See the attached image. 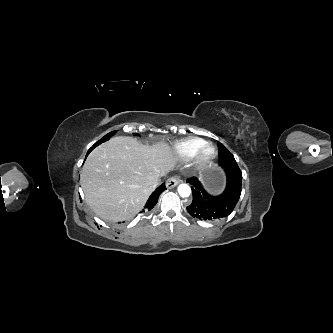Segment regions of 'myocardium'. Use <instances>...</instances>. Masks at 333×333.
<instances>
[{
	"instance_id": "obj_1",
	"label": "myocardium",
	"mask_w": 333,
	"mask_h": 333,
	"mask_svg": "<svg viewBox=\"0 0 333 333\" xmlns=\"http://www.w3.org/2000/svg\"><path fill=\"white\" fill-rule=\"evenodd\" d=\"M211 151V153H209ZM217 158V150L212 144H205L195 155L194 163L197 167H205Z\"/></svg>"
}]
</instances>
